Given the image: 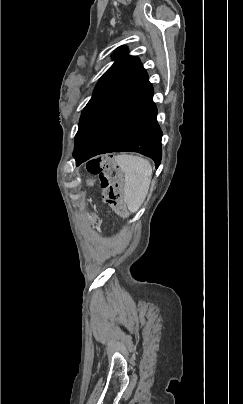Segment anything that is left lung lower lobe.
Segmentation results:
<instances>
[{
	"mask_svg": "<svg viewBox=\"0 0 243 404\" xmlns=\"http://www.w3.org/2000/svg\"><path fill=\"white\" fill-rule=\"evenodd\" d=\"M156 115L153 87L147 81L97 119L74 155L76 165L98 154L132 151L150 157L158 168L162 131Z\"/></svg>",
	"mask_w": 243,
	"mask_h": 404,
	"instance_id": "obj_1",
	"label": "left lung lower lobe"
}]
</instances>
